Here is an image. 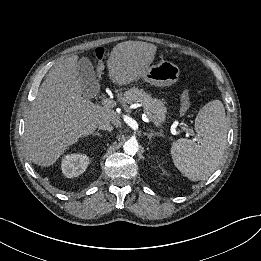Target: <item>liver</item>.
<instances>
[{
    "label": "liver",
    "instance_id": "6515ba94",
    "mask_svg": "<svg viewBox=\"0 0 261 261\" xmlns=\"http://www.w3.org/2000/svg\"><path fill=\"white\" fill-rule=\"evenodd\" d=\"M157 47L141 41L117 44L107 61L108 76L119 86L138 81L155 58ZM78 56L52 68L39 88L25 124L26 150L39 166H51L79 138L92 134L103 122L121 127L111 108L82 97Z\"/></svg>",
    "mask_w": 261,
    "mask_h": 261
}]
</instances>
